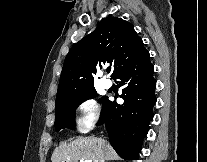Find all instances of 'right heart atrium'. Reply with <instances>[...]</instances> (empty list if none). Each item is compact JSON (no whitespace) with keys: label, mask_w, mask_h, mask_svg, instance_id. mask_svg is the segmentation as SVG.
<instances>
[{"label":"right heart atrium","mask_w":207,"mask_h":162,"mask_svg":"<svg viewBox=\"0 0 207 162\" xmlns=\"http://www.w3.org/2000/svg\"><path fill=\"white\" fill-rule=\"evenodd\" d=\"M78 126L81 132H87L99 120L100 111L94 98L88 97L82 100L78 106Z\"/></svg>","instance_id":"1"}]
</instances>
